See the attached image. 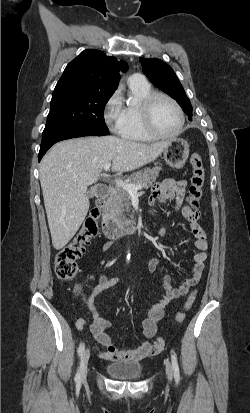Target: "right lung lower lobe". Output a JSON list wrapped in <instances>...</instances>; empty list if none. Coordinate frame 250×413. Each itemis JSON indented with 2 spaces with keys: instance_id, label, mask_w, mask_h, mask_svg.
<instances>
[{
  "instance_id": "right-lung-lower-lobe-1",
  "label": "right lung lower lobe",
  "mask_w": 250,
  "mask_h": 413,
  "mask_svg": "<svg viewBox=\"0 0 250 413\" xmlns=\"http://www.w3.org/2000/svg\"><path fill=\"white\" fill-rule=\"evenodd\" d=\"M109 134H110L109 132L92 130V129H72V130L61 132L58 135L54 136L53 138L42 141L38 159L40 161L43 155L47 152V150L56 142L70 139V138H76V137L103 136V135H109Z\"/></svg>"
}]
</instances>
